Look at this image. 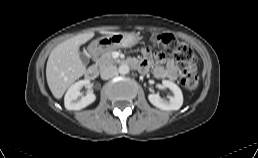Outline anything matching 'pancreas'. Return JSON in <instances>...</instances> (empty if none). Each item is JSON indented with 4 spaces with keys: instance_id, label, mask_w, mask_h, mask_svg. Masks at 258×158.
<instances>
[{
    "instance_id": "obj_1",
    "label": "pancreas",
    "mask_w": 258,
    "mask_h": 158,
    "mask_svg": "<svg viewBox=\"0 0 258 158\" xmlns=\"http://www.w3.org/2000/svg\"><path fill=\"white\" fill-rule=\"evenodd\" d=\"M112 52H113V49L104 52L100 56V58L97 59L96 65L99 66L100 68H105L107 66H111L117 63L118 60L112 58Z\"/></svg>"
}]
</instances>
